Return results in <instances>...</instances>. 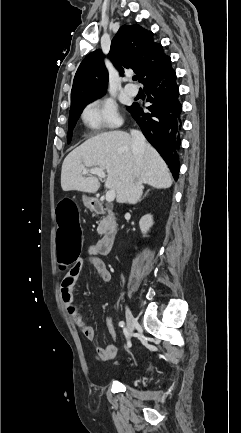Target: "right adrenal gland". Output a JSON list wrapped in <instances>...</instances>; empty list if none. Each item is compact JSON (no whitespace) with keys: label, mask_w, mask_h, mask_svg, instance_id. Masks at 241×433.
<instances>
[{"label":"right adrenal gland","mask_w":241,"mask_h":433,"mask_svg":"<svg viewBox=\"0 0 241 433\" xmlns=\"http://www.w3.org/2000/svg\"><path fill=\"white\" fill-rule=\"evenodd\" d=\"M149 190H150V189H148V190H147V191L145 192L144 196H146V195H147V193H148V191H149ZM144 196H143V197H144Z\"/></svg>","instance_id":"obj_1"}]
</instances>
